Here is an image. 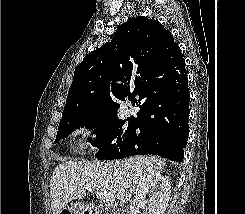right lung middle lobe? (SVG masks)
<instances>
[{
	"instance_id": "dd1d6c3e",
	"label": "right lung middle lobe",
	"mask_w": 245,
	"mask_h": 214,
	"mask_svg": "<svg viewBox=\"0 0 245 214\" xmlns=\"http://www.w3.org/2000/svg\"><path fill=\"white\" fill-rule=\"evenodd\" d=\"M133 101V100H132ZM134 102V101H133ZM133 117L128 118L130 122ZM125 120H120L113 113L85 112L62 115L55 143L67 137L71 132L80 127L95 128L97 137L93 146L100 151L95 155L98 159H111L109 152L126 142ZM128 122V124H130Z\"/></svg>"
}]
</instances>
